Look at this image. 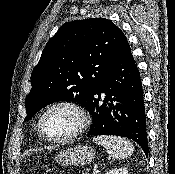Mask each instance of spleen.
I'll list each match as a JSON object with an SVG mask.
<instances>
[{
	"label": "spleen",
	"instance_id": "spleen-1",
	"mask_svg": "<svg viewBox=\"0 0 175 174\" xmlns=\"http://www.w3.org/2000/svg\"><path fill=\"white\" fill-rule=\"evenodd\" d=\"M93 141L104 147L113 159H125L134 152L132 143L121 137L98 135L93 138Z\"/></svg>",
	"mask_w": 175,
	"mask_h": 174
}]
</instances>
